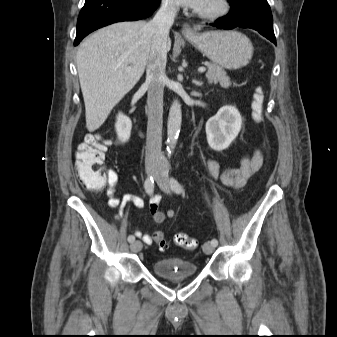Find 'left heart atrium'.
I'll return each instance as SVG.
<instances>
[{"label": "left heart atrium", "instance_id": "obj_1", "mask_svg": "<svg viewBox=\"0 0 337 337\" xmlns=\"http://www.w3.org/2000/svg\"><path fill=\"white\" fill-rule=\"evenodd\" d=\"M177 4L193 8L195 10H201L208 0H174Z\"/></svg>", "mask_w": 337, "mask_h": 337}]
</instances>
